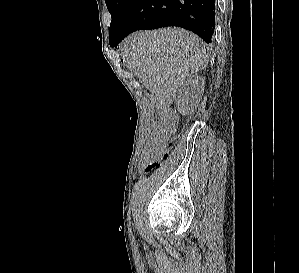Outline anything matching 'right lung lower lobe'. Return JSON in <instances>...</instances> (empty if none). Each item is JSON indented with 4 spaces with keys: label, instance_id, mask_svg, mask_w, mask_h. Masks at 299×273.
<instances>
[{
    "label": "right lung lower lobe",
    "instance_id": "right-lung-lower-lobe-1",
    "mask_svg": "<svg viewBox=\"0 0 299 273\" xmlns=\"http://www.w3.org/2000/svg\"><path fill=\"white\" fill-rule=\"evenodd\" d=\"M167 26L185 28L210 43L215 28V0H134L110 45L117 47L136 30Z\"/></svg>",
    "mask_w": 299,
    "mask_h": 273
}]
</instances>
